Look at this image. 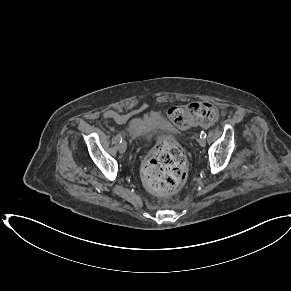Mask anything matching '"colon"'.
Segmentation results:
<instances>
[{
    "mask_svg": "<svg viewBox=\"0 0 291 291\" xmlns=\"http://www.w3.org/2000/svg\"><path fill=\"white\" fill-rule=\"evenodd\" d=\"M168 118L180 128L195 124L210 125L217 118L215 106L208 102H193L172 106ZM186 177V156L172 140L161 139L142 167L145 187L152 193L164 194L176 191Z\"/></svg>",
    "mask_w": 291,
    "mask_h": 291,
    "instance_id": "colon-1",
    "label": "colon"
}]
</instances>
